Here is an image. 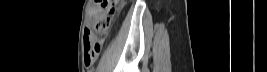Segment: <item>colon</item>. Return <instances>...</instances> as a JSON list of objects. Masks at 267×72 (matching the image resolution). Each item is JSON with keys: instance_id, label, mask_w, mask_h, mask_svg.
Instances as JSON below:
<instances>
[{"instance_id": "colon-1", "label": "colon", "mask_w": 267, "mask_h": 72, "mask_svg": "<svg viewBox=\"0 0 267 72\" xmlns=\"http://www.w3.org/2000/svg\"><path fill=\"white\" fill-rule=\"evenodd\" d=\"M122 1L120 0H96L94 13V26L86 30L84 46L86 60L92 66L101 50L103 39L108 33L112 21L115 18Z\"/></svg>"}]
</instances>
